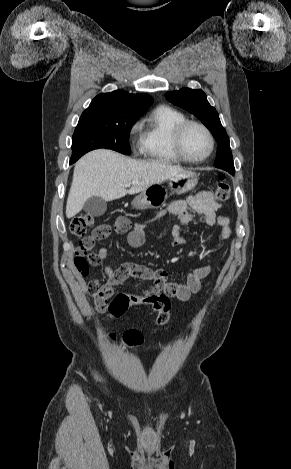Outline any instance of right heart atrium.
I'll return each mask as SVG.
<instances>
[{"label":"right heart atrium","mask_w":291,"mask_h":469,"mask_svg":"<svg viewBox=\"0 0 291 469\" xmlns=\"http://www.w3.org/2000/svg\"><path fill=\"white\" fill-rule=\"evenodd\" d=\"M138 129H139V124L138 123L134 124L131 128V133L132 134L136 133Z\"/></svg>","instance_id":"1"}]
</instances>
